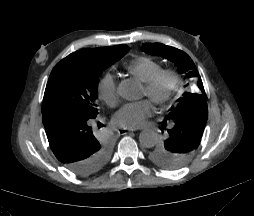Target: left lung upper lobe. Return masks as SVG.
I'll list each match as a JSON object with an SVG mask.
<instances>
[{"instance_id": "obj_1", "label": "left lung upper lobe", "mask_w": 254, "mask_h": 216, "mask_svg": "<svg viewBox=\"0 0 254 216\" xmlns=\"http://www.w3.org/2000/svg\"><path fill=\"white\" fill-rule=\"evenodd\" d=\"M142 49L174 62L190 78L191 84H187L162 121L161 130H167V139L150 151V158L161 167L178 169L197 152L208 117L207 95L195 64L186 53L159 43L143 44Z\"/></svg>"}]
</instances>
